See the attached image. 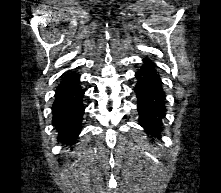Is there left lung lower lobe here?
<instances>
[{
    "mask_svg": "<svg viewBox=\"0 0 221 193\" xmlns=\"http://www.w3.org/2000/svg\"><path fill=\"white\" fill-rule=\"evenodd\" d=\"M144 62L135 73L137 84L134 91L139 98V122L148 133L158 135L166 112V94L155 63L148 58H144Z\"/></svg>",
    "mask_w": 221,
    "mask_h": 193,
    "instance_id": "1",
    "label": "left lung lower lobe"
}]
</instances>
